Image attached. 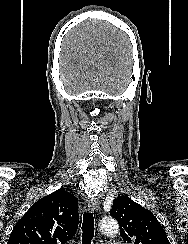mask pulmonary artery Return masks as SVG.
Masks as SVG:
<instances>
[{
    "mask_svg": "<svg viewBox=\"0 0 188 244\" xmlns=\"http://www.w3.org/2000/svg\"><path fill=\"white\" fill-rule=\"evenodd\" d=\"M106 244H118L117 242H108Z\"/></svg>",
    "mask_w": 188,
    "mask_h": 244,
    "instance_id": "obj_1",
    "label": "pulmonary artery"
}]
</instances>
